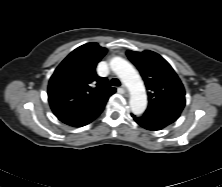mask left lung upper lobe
<instances>
[{
	"label": "left lung upper lobe",
	"instance_id": "left-lung-upper-lobe-1",
	"mask_svg": "<svg viewBox=\"0 0 222 187\" xmlns=\"http://www.w3.org/2000/svg\"><path fill=\"white\" fill-rule=\"evenodd\" d=\"M127 56L138 68L148 90V108H168L182 111L185 90L170 64L153 51H127Z\"/></svg>",
	"mask_w": 222,
	"mask_h": 187
}]
</instances>
